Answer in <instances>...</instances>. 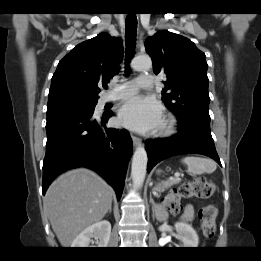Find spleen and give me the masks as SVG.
I'll return each mask as SVG.
<instances>
[{"instance_id":"3e777b00","label":"spleen","mask_w":261,"mask_h":261,"mask_svg":"<svg viewBox=\"0 0 261 261\" xmlns=\"http://www.w3.org/2000/svg\"><path fill=\"white\" fill-rule=\"evenodd\" d=\"M182 163L187 166V171L194 175L204 173L210 174L217 168L216 162L212 159L197 156L184 157Z\"/></svg>"}]
</instances>
